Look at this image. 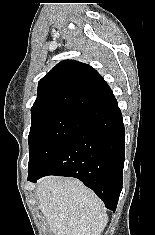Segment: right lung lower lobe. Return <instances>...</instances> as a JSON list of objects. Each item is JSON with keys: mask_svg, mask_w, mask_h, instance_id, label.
Wrapping results in <instances>:
<instances>
[{"mask_svg": "<svg viewBox=\"0 0 155 235\" xmlns=\"http://www.w3.org/2000/svg\"><path fill=\"white\" fill-rule=\"evenodd\" d=\"M87 96L99 119L75 134L43 168L29 172L28 180L36 182L46 175L78 178L115 211L125 158L122 114L106 82L90 88Z\"/></svg>", "mask_w": 155, "mask_h": 235, "instance_id": "obj_1", "label": "right lung lower lobe"}]
</instances>
